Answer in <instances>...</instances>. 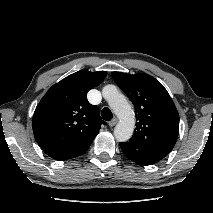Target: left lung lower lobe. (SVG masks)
<instances>
[{"mask_svg": "<svg viewBox=\"0 0 213 213\" xmlns=\"http://www.w3.org/2000/svg\"><path fill=\"white\" fill-rule=\"evenodd\" d=\"M120 147L123 151V153L132 161L138 163V164H143V165H152L157 163L159 160L162 158L157 157V156H152V155H147L144 153L139 152L138 150L132 148L131 146L125 144V143H120Z\"/></svg>", "mask_w": 213, "mask_h": 213, "instance_id": "obj_1", "label": "left lung lower lobe"}]
</instances>
